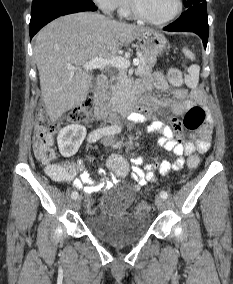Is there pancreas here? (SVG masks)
Masks as SVG:
<instances>
[{"instance_id":"1","label":"pancreas","mask_w":233,"mask_h":284,"mask_svg":"<svg viewBox=\"0 0 233 284\" xmlns=\"http://www.w3.org/2000/svg\"><path fill=\"white\" fill-rule=\"evenodd\" d=\"M156 63V58L142 54L140 57V64L137 72L141 75L152 72V67ZM131 87V80L127 76V71L121 69L117 75L116 83L112 86L111 91L107 93L110 105L120 106L126 104L129 100V90Z\"/></svg>"}]
</instances>
